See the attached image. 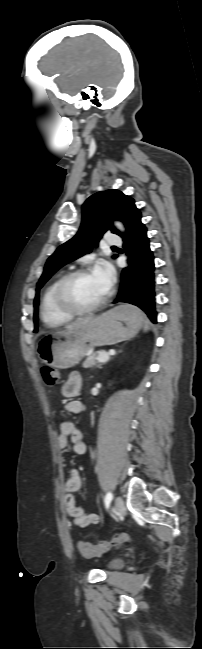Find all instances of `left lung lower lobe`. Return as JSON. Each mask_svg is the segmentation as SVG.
I'll return each mask as SVG.
<instances>
[{"label": "left lung lower lobe", "mask_w": 202, "mask_h": 649, "mask_svg": "<svg viewBox=\"0 0 202 649\" xmlns=\"http://www.w3.org/2000/svg\"><path fill=\"white\" fill-rule=\"evenodd\" d=\"M124 238V248L127 254H133L130 268L121 273L120 290L114 303L126 302L141 308L153 323H156L154 292V256L149 246L147 229L141 222V216L134 218L127 228ZM131 247L134 251L128 250Z\"/></svg>", "instance_id": "left-lung-lower-lobe-1"}]
</instances>
